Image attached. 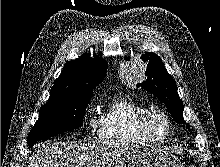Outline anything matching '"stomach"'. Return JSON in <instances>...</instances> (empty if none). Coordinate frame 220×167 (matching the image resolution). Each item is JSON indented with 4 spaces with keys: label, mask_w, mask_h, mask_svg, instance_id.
Masks as SVG:
<instances>
[{
    "label": "stomach",
    "mask_w": 220,
    "mask_h": 167,
    "mask_svg": "<svg viewBox=\"0 0 220 167\" xmlns=\"http://www.w3.org/2000/svg\"><path fill=\"white\" fill-rule=\"evenodd\" d=\"M114 167H183L177 157L156 147L129 146Z\"/></svg>",
    "instance_id": "1"
}]
</instances>
